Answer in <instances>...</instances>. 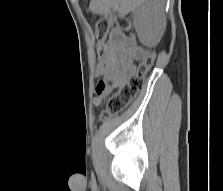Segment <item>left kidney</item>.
Masks as SVG:
<instances>
[{
  "mask_svg": "<svg viewBox=\"0 0 223 191\" xmlns=\"http://www.w3.org/2000/svg\"><path fill=\"white\" fill-rule=\"evenodd\" d=\"M165 24V0L148 1L135 14L138 37L146 46H154L160 41Z\"/></svg>",
  "mask_w": 223,
  "mask_h": 191,
  "instance_id": "left-kidney-1",
  "label": "left kidney"
}]
</instances>
